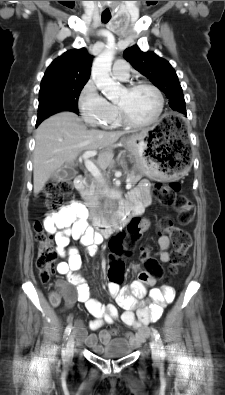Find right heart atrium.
Returning <instances> with one entry per match:
<instances>
[{
  "label": "right heart atrium",
  "mask_w": 225,
  "mask_h": 395,
  "mask_svg": "<svg viewBox=\"0 0 225 395\" xmlns=\"http://www.w3.org/2000/svg\"><path fill=\"white\" fill-rule=\"evenodd\" d=\"M78 107L85 123L92 127H107L117 114L116 108L98 92L91 80L79 95Z\"/></svg>",
  "instance_id": "1"
}]
</instances>
